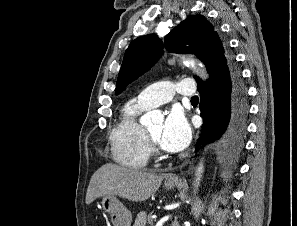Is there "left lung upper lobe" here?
<instances>
[{"mask_svg": "<svg viewBox=\"0 0 297 226\" xmlns=\"http://www.w3.org/2000/svg\"><path fill=\"white\" fill-rule=\"evenodd\" d=\"M165 48L173 53L195 54L208 69L209 78L228 69L231 57L225 52L217 32L201 15L189 16L165 37ZM162 41L149 34L133 40L127 48L119 75L116 92L148 70L162 53ZM197 81H201L196 77Z\"/></svg>", "mask_w": 297, "mask_h": 226, "instance_id": "5c2ea615", "label": "left lung upper lobe"}]
</instances>
